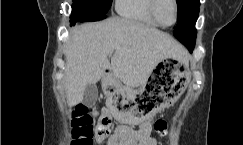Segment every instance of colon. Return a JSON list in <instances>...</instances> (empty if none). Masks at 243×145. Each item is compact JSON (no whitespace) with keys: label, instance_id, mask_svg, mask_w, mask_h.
<instances>
[{"label":"colon","instance_id":"colon-1","mask_svg":"<svg viewBox=\"0 0 243 145\" xmlns=\"http://www.w3.org/2000/svg\"><path fill=\"white\" fill-rule=\"evenodd\" d=\"M73 145H93V138H106L111 133V120L108 116L98 118L94 125V118L88 107L77 105L72 113ZM155 129L162 133L166 129V122L158 119L154 124Z\"/></svg>","mask_w":243,"mask_h":145}]
</instances>
